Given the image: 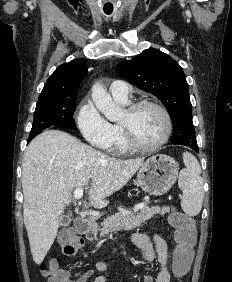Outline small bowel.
I'll list each match as a JSON object with an SVG mask.
<instances>
[{
    "instance_id": "small-bowel-1",
    "label": "small bowel",
    "mask_w": 232,
    "mask_h": 282,
    "mask_svg": "<svg viewBox=\"0 0 232 282\" xmlns=\"http://www.w3.org/2000/svg\"><path fill=\"white\" fill-rule=\"evenodd\" d=\"M131 241L139 249L147 263L157 261L160 265V271L156 278L154 279L152 276L147 275L144 277V282H170L171 276L168 269L169 253L166 241L158 234L150 237L144 233L132 234ZM108 268L109 263L101 261L95 264L94 269L77 274L74 279L69 278V273L66 270L60 269L59 273L63 277L69 278L71 282H88L94 274L97 275L93 278L92 282H108V276L103 274ZM48 282L56 281L49 277Z\"/></svg>"
}]
</instances>
